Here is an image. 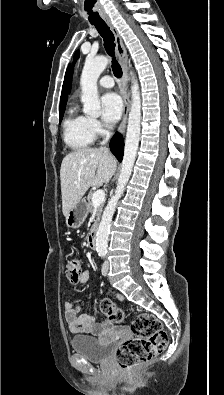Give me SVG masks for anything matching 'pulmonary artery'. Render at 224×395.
<instances>
[{"label":"pulmonary artery","instance_id":"1","mask_svg":"<svg viewBox=\"0 0 224 395\" xmlns=\"http://www.w3.org/2000/svg\"><path fill=\"white\" fill-rule=\"evenodd\" d=\"M99 85L103 88H112L114 86V80L111 76H103L99 80Z\"/></svg>","mask_w":224,"mask_h":395}]
</instances>
